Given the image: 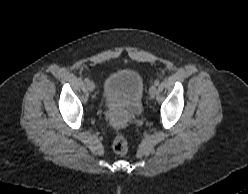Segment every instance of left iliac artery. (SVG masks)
<instances>
[{
    "mask_svg": "<svg viewBox=\"0 0 248 194\" xmlns=\"http://www.w3.org/2000/svg\"><path fill=\"white\" fill-rule=\"evenodd\" d=\"M154 84H155L156 86H158V85H159V81L156 80V81L154 82Z\"/></svg>",
    "mask_w": 248,
    "mask_h": 194,
    "instance_id": "left-iliac-artery-1",
    "label": "left iliac artery"
}]
</instances>
